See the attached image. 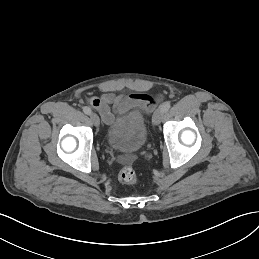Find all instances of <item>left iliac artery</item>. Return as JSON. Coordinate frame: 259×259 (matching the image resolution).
Masks as SVG:
<instances>
[{"instance_id":"left-iliac-artery-1","label":"left iliac artery","mask_w":259,"mask_h":259,"mask_svg":"<svg viewBox=\"0 0 259 259\" xmlns=\"http://www.w3.org/2000/svg\"><path fill=\"white\" fill-rule=\"evenodd\" d=\"M170 107H171L170 102H166V103H164V104L161 106V110L165 113V112H167V111L170 109Z\"/></svg>"}]
</instances>
